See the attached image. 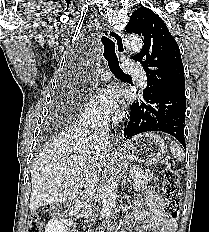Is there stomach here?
Returning a JSON list of instances; mask_svg holds the SVG:
<instances>
[{"mask_svg":"<svg viewBox=\"0 0 209 232\" xmlns=\"http://www.w3.org/2000/svg\"><path fill=\"white\" fill-rule=\"evenodd\" d=\"M167 145L154 133L140 134L127 141L121 151L130 161L144 164H157L166 154Z\"/></svg>","mask_w":209,"mask_h":232,"instance_id":"stomach-1","label":"stomach"}]
</instances>
